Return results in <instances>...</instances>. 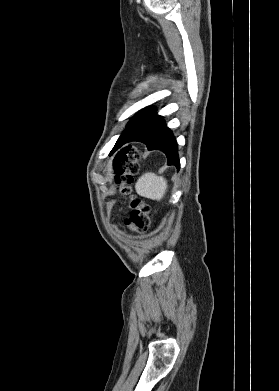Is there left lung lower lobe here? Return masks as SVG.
Wrapping results in <instances>:
<instances>
[{
    "mask_svg": "<svg viewBox=\"0 0 279 391\" xmlns=\"http://www.w3.org/2000/svg\"><path fill=\"white\" fill-rule=\"evenodd\" d=\"M130 141L143 142L146 144L148 150H162L167 156L168 165H175L179 170L180 161L176 139L170 129L166 127L163 118L140 134L126 136L122 139L119 147Z\"/></svg>",
    "mask_w": 279,
    "mask_h": 391,
    "instance_id": "obj_1",
    "label": "left lung lower lobe"
}]
</instances>
